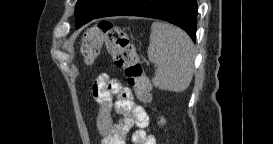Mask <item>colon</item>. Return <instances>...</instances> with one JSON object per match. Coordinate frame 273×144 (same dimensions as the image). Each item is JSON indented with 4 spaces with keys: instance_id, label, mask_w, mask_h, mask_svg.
Wrapping results in <instances>:
<instances>
[{
    "instance_id": "obj_1",
    "label": "colon",
    "mask_w": 273,
    "mask_h": 144,
    "mask_svg": "<svg viewBox=\"0 0 273 144\" xmlns=\"http://www.w3.org/2000/svg\"><path fill=\"white\" fill-rule=\"evenodd\" d=\"M105 44L116 67L124 71L128 84L135 90L137 98L143 103L151 100V85L144 66L137 56L132 42L123 29L108 20H101L87 29L83 36L81 53L87 63L93 62ZM163 126L165 121L159 119Z\"/></svg>"
}]
</instances>
